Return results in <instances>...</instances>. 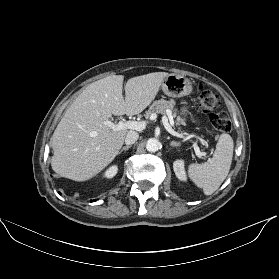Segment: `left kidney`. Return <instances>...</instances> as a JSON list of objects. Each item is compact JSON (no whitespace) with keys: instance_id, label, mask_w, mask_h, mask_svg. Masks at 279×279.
Masks as SVG:
<instances>
[{"instance_id":"1","label":"left kidney","mask_w":279,"mask_h":279,"mask_svg":"<svg viewBox=\"0 0 279 279\" xmlns=\"http://www.w3.org/2000/svg\"><path fill=\"white\" fill-rule=\"evenodd\" d=\"M173 169H174L175 175L177 176L178 179H180L181 181L187 180L183 160H176L173 163Z\"/></svg>"}]
</instances>
